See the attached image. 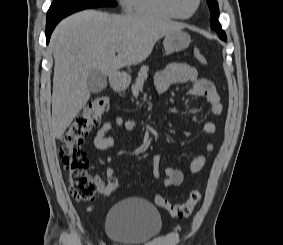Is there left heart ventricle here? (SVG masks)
Returning <instances> with one entry per match:
<instances>
[{
  "instance_id": "b2bd125f",
  "label": "left heart ventricle",
  "mask_w": 283,
  "mask_h": 245,
  "mask_svg": "<svg viewBox=\"0 0 283 245\" xmlns=\"http://www.w3.org/2000/svg\"><path fill=\"white\" fill-rule=\"evenodd\" d=\"M183 7L189 9L193 6V0H182Z\"/></svg>"
}]
</instances>
